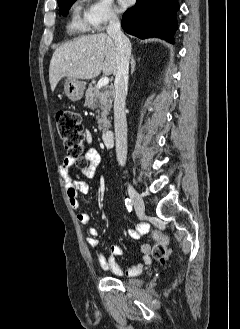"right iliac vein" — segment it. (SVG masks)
<instances>
[{"label": "right iliac vein", "instance_id": "1", "mask_svg": "<svg viewBox=\"0 0 240 329\" xmlns=\"http://www.w3.org/2000/svg\"><path fill=\"white\" fill-rule=\"evenodd\" d=\"M128 193L130 195L137 214L140 217H143L145 213V204L141 195L131 185H128Z\"/></svg>", "mask_w": 240, "mask_h": 329}]
</instances>
